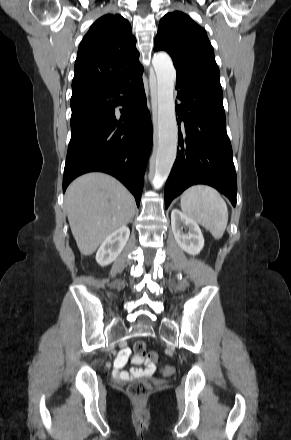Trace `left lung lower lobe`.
<instances>
[{"label":"left lung lower lobe","mask_w":291,"mask_h":440,"mask_svg":"<svg viewBox=\"0 0 291 440\" xmlns=\"http://www.w3.org/2000/svg\"><path fill=\"white\" fill-rule=\"evenodd\" d=\"M177 158L165 186V208L186 188L210 185L236 205L237 178L226 132L223 94L176 79Z\"/></svg>","instance_id":"0a47b994"}]
</instances>
